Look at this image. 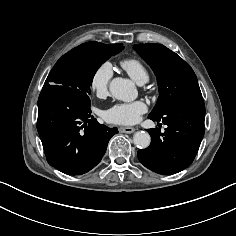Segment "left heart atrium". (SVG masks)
Instances as JSON below:
<instances>
[{"mask_svg": "<svg viewBox=\"0 0 236 236\" xmlns=\"http://www.w3.org/2000/svg\"><path fill=\"white\" fill-rule=\"evenodd\" d=\"M147 111V105L142 100L132 102H117L104 112L106 121L120 125L136 124Z\"/></svg>", "mask_w": 236, "mask_h": 236, "instance_id": "39dd6f15", "label": "left heart atrium"}]
</instances>
